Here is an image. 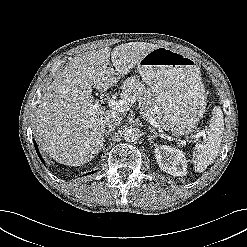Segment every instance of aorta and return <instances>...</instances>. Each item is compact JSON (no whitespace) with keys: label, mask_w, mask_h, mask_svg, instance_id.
Returning a JSON list of instances; mask_svg holds the SVG:
<instances>
[{"label":"aorta","mask_w":247,"mask_h":247,"mask_svg":"<svg viewBox=\"0 0 247 247\" xmlns=\"http://www.w3.org/2000/svg\"><path fill=\"white\" fill-rule=\"evenodd\" d=\"M123 138L128 142H133L139 138V132L136 128H125Z\"/></svg>","instance_id":"aorta-1"}]
</instances>
